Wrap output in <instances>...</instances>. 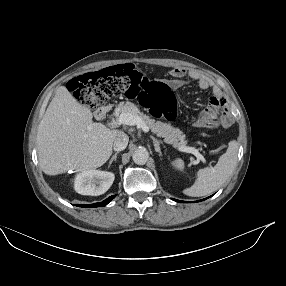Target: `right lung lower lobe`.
<instances>
[{
    "label": "right lung lower lobe",
    "mask_w": 286,
    "mask_h": 286,
    "mask_svg": "<svg viewBox=\"0 0 286 286\" xmlns=\"http://www.w3.org/2000/svg\"><path fill=\"white\" fill-rule=\"evenodd\" d=\"M116 195H112L110 197H108L106 200L100 202V203H94V204H90V205H87V204H77L76 206H79V207H101V206H105L107 205Z\"/></svg>",
    "instance_id": "1"
}]
</instances>
